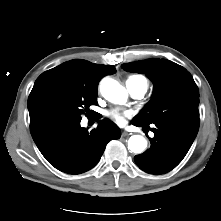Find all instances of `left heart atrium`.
<instances>
[{
	"label": "left heart atrium",
	"instance_id": "1",
	"mask_svg": "<svg viewBox=\"0 0 221 221\" xmlns=\"http://www.w3.org/2000/svg\"><path fill=\"white\" fill-rule=\"evenodd\" d=\"M126 114L123 113H118V112H113L110 117L117 123L122 125L124 123V117Z\"/></svg>",
	"mask_w": 221,
	"mask_h": 221
}]
</instances>
